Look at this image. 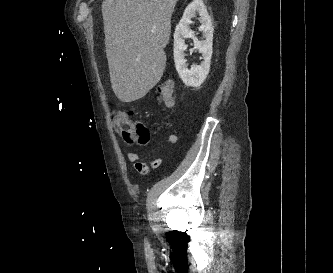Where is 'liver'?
<instances>
[{
	"instance_id": "obj_1",
	"label": "liver",
	"mask_w": 333,
	"mask_h": 273,
	"mask_svg": "<svg viewBox=\"0 0 333 273\" xmlns=\"http://www.w3.org/2000/svg\"><path fill=\"white\" fill-rule=\"evenodd\" d=\"M178 0H103L105 47L113 92L122 102L144 97L161 79L164 48Z\"/></svg>"
}]
</instances>
